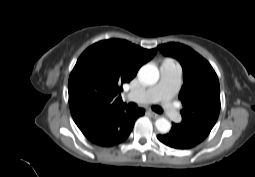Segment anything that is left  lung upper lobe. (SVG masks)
Wrapping results in <instances>:
<instances>
[{
  "mask_svg": "<svg viewBox=\"0 0 255 177\" xmlns=\"http://www.w3.org/2000/svg\"><path fill=\"white\" fill-rule=\"evenodd\" d=\"M165 55L177 59L183 68V85L179 93L183 109L182 125L188 131L207 137L220 113L218 77L197 52L179 43L158 46Z\"/></svg>",
  "mask_w": 255,
  "mask_h": 177,
  "instance_id": "obj_1",
  "label": "left lung upper lobe"
}]
</instances>
